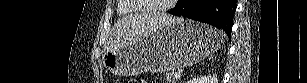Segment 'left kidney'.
I'll list each match as a JSON object with an SVG mask.
<instances>
[{"label": "left kidney", "instance_id": "1", "mask_svg": "<svg viewBox=\"0 0 307 83\" xmlns=\"http://www.w3.org/2000/svg\"><path fill=\"white\" fill-rule=\"evenodd\" d=\"M188 83H218V78L217 76H198L197 78H192L191 80L188 81Z\"/></svg>", "mask_w": 307, "mask_h": 83}]
</instances>
